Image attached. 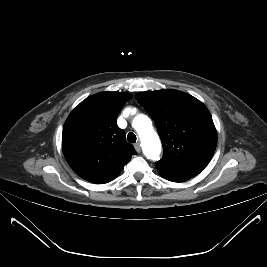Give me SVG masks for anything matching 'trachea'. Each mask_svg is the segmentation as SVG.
I'll list each match as a JSON object with an SVG mask.
<instances>
[{"label":"trachea","instance_id":"1","mask_svg":"<svg viewBox=\"0 0 267 267\" xmlns=\"http://www.w3.org/2000/svg\"><path fill=\"white\" fill-rule=\"evenodd\" d=\"M136 135L132 132L128 133L127 135V140L130 142V143H135L136 142Z\"/></svg>","mask_w":267,"mask_h":267}]
</instances>
